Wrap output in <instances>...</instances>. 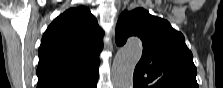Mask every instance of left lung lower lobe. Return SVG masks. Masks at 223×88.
I'll return each instance as SVG.
<instances>
[{"label": "left lung lower lobe", "instance_id": "0a47b994", "mask_svg": "<svg viewBox=\"0 0 223 88\" xmlns=\"http://www.w3.org/2000/svg\"><path fill=\"white\" fill-rule=\"evenodd\" d=\"M134 88H138L136 84H134Z\"/></svg>", "mask_w": 223, "mask_h": 88}]
</instances>
